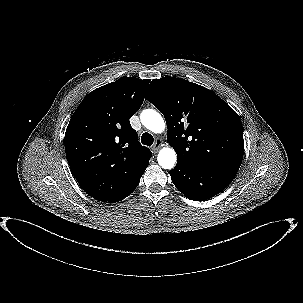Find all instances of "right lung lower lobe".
<instances>
[{
  "instance_id": "obj_1",
  "label": "right lung lower lobe",
  "mask_w": 303,
  "mask_h": 303,
  "mask_svg": "<svg viewBox=\"0 0 303 303\" xmlns=\"http://www.w3.org/2000/svg\"><path fill=\"white\" fill-rule=\"evenodd\" d=\"M139 181H140V179H139L132 187H130L128 190H126L123 194H121V195L118 196L117 198H115V199L109 201V203H115V202L121 201V200H123L125 197L129 196V195L135 190V188L137 187Z\"/></svg>"
}]
</instances>
